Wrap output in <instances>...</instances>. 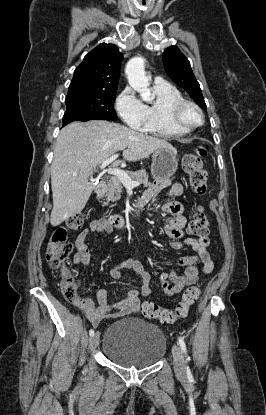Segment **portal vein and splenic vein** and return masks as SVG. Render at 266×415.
Returning a JSON list of instances; mask_svg holds the SVG:
<instances>
[{"label": "portal vein and splenic vein", "instance_id": "18ae733b", "mask_svg": "<svg viewBox=\"0 0 266 415\" xmlns=\"http://www.w3.org/2000/svg\"><path fill=\"white\" fill-rule=\"evenodd\" d=\"M119 155L118 154H114L112 155L110 158L106 159L105 161H103L100 165L101 170L106 171L108 174L113 175L118 177L122 184L128 188V189H132L134 187H137L141 184V182L138 181H133L129 175L127 174V172H125L122 169L116 168V167H112V168H108L107 170H105V168L107 167V165H109L111 162H113ZM76 175V174H75Z\"/></svg>", "mask_w": 266, "mask_h": 415}]
</instances>
